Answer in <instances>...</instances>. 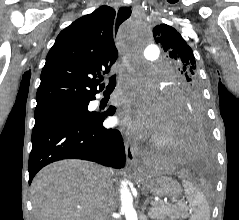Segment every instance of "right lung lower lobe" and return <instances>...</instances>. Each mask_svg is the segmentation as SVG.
Wrapping results in <instances>:
<instances>
[{
  "mask_svg": "<svg viewBox=\"0 0 239 220\" xmlns=\"http://www.w3.org/2000/svg\"><path fill=\"white\" fill-rule=\"evenodd\" d=\"M115 110L110 106L104 115H95L86 122L61 118L35 120L28 165L29 184L41 168L62 159H84L114 168L124 167L120 132L102 126L105 116L113 115Z\"/></svg>",
  "mask_w": 239,
  "mask_h": 220,
  "instance_id": "right-lung-lower-lobe-1",
  "label": "right lung lower lobe"
}]
</instances>
